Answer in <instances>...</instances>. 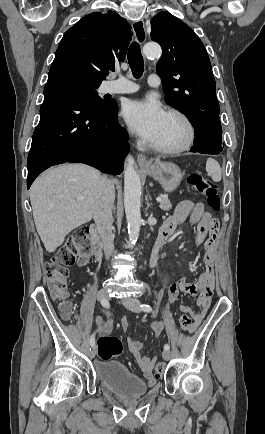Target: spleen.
Instances as JSON below:
<instances>
[{"mask_svg":"<svg viewBox=\"0 0 265 434\" xmlns=\"http://www.w3.org/2000/svg\"><path fill=\"white\" fill-rule=\"evenodd\" d=\"M206 172L210 174L213 182H220L222 178L221 168L218 162H216V160H213V158H208L206 162Z\"/></svg>","mask_w":265,"mask_h":434,"instance_id":"spleen-1","label":"spleen"}]
</instances>
